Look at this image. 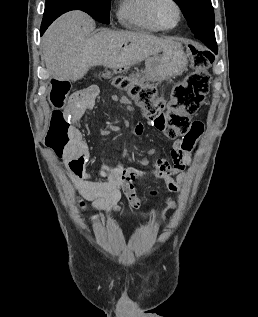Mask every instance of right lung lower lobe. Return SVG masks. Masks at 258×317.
<instances>
[{
    "label": "right lung lower lobe",
    "instance_id": "right-lung-lower-lobe-1",
    "mask_svg": "<svg viewBox=\"0 0 258 317\" xmlns=\"http://www.w3.org/2000/svg\"><path fill=\"white\" fill-rule=\"evenodd\" d=\"M71 10H81L92 17L95 14L88 0H46L40 34L42 35L56 18Z\"/></svg>",
    "mask_w": 258,
    "mask_h": 317
}]
</instances>
